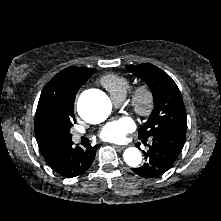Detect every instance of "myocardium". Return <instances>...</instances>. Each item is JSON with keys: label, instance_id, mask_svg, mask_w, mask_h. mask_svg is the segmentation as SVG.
I'll list each match as a JSON object with an SVG mask.
<instances>
[{"label": "myocardium", "instance_id": "myocardium-1", "mask_svg": "<svg viewBox=\"0 0 221 221\" xmlns=\"http://www.w3.org/2000/svg\"><path fill=\"white\" fill-rule=\"evenodd\" d=\"M129 105L139 116H149L155 107V97L150 86L147 84L136 86L131 92Z\"/></svg>", "mask_w": 221, "mask_h": 221}]
</instances>
